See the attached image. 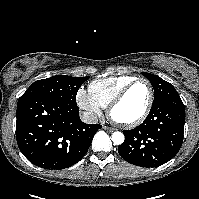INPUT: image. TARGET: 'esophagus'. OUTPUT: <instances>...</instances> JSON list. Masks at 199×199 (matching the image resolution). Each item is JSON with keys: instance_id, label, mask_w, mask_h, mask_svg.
<instances>
[{"instance_id": "esophagus-1", "label": "esophagus", "mask_w": 199, "mask_h": 199, "mask_svg": "<svg viewBox=\"0 0 199 199\" xmlns=\"http://www.w3.org/2000/svg\"><path fill=\"white\" fill-rule=\"evenodd\" d=\"M103 129H104V130H107V131H109V132H113V131H114V128L108 127V126H106V125H103Z\"/></svg>"}]
</instances>
